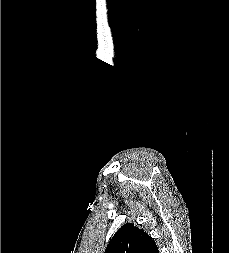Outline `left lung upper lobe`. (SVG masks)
<instances>
[{"instance_id":"left-lung-upper-lobe-1","label":"left lung upper lobe","mask_w":229,"mask_h":253,"mask_svg":"<svg viewBox=\"0 0 229 253\" xmlns=\"http://www.w3.org/2000/svg\"><path fill=\"white\" fill-rule=\"evenodd\" d=\"M152 238L131 223L123 225L110 240L105 253H157Z\"/></svg>"}]
</instances>
